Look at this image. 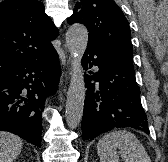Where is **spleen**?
Segmentation results:
<instances>
[{
	"instance_id": "1",
	"label": "spleen",
	"mask_w": 168,
	"mask_h": 162,
	"mask_svg": "<svg viewBox=\"0 0 168 162\" xmlns=\"http://www.w3.org/2000/svg\"><path fill=\"white\" fill-rule=\"evenodd\" d=\"M101 162H151L144 146L136 136L126 130H115L105 134L97 143Z\"/></svg>"
}]
</instances>
